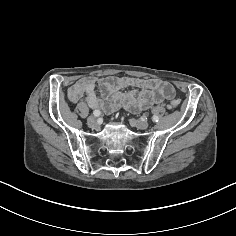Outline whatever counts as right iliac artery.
<instances>
[{
  "label": "right iliac artery",
  "mask_w": 236,
  "mask_h": 236,
  "mask_svg": "<svg viewBox=\"0 0 236 236\" xmlns=\"http://www.w3.org/2000/svg\"><path fill=\"white\" fill-rule=\"evenodd\" d=\"M100 114H101V112H100L99 110L93 111V115H94L95 117H99Z\"/></svg>",
  "instance_id": "obj_1"
}]
</instances>
